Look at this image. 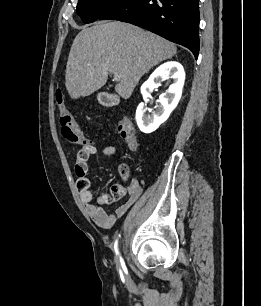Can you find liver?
Returning <instances> with one entry per match:
<instances>
[{
    "label": "liver",
    "mask_w": 261,
    "mask_h": 306,
    "mask_svg": "<svg viewBox=\"0 0 261 306\" xmlns=\"http://www.w3.org/2000/svg\"><path fill=\"white\" fill-rule=\"evenodd\" d=\"M176 46L137 26L100 22L82 29L70 49L65 86L72 99L89 96L105 85L109 73L121 80L115 91L128 99L140 78L160 62L172 58Z\"/></svg>",
    "instance_id": "obj_1"
}]
</instances>
